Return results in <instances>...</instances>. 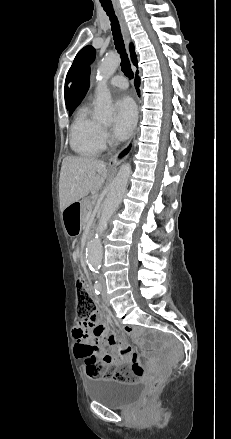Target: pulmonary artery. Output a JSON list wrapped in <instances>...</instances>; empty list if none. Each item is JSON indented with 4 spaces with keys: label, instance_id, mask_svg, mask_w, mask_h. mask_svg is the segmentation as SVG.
Wrapping results in <instances>:
<instances>
[{
    "label": "pulmonary artery",
    "instance_id": "1",
    "mask_svg": "<svg viewBox=\"0 0 231 439\" xmlns=\"http://www.w3.org/2000/svg\"><path fill=\"white\" fill-rule=\"evenodd\" d=\"M111 87L126 89L128 86L127 80L120 75L113 76L109 82Z\"/></svg>",
    "mask_w": 231,
    "mask_h": 439
}]
</instances>
